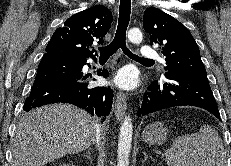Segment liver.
Returning <instances> with one entry per match:
<instances>
[{"label": "liver", "instance_id": "obj_1", "mask_svg": "<svg viewBox=\"0 0 231 166\" xmlns=\"http://www.w3.org/2000/svg\"><path fill=\"white\" fill-rule=\"evenodd\" d=\"M98 124L87 112L70 104L40 107L18 124L11 166H44L94 144Z\"/></svg>", "mask_w": 231, "mask_h": 166}]
</instances>
